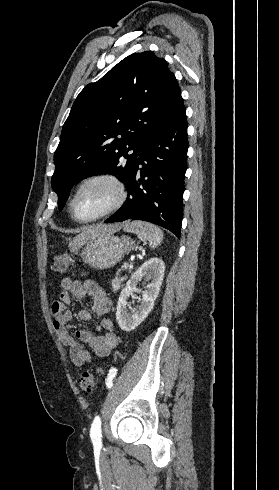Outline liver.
Listing matches in <instances>:
<instances>
[{"mask_svg":"<svg viewBox=\"0 0 279 490\" xmlns=\"http://www.w3.org/2000/svg\"><path fill=\"white\" fill-rule=\"evenodd\" d=\"M123 224H112V226H91V228H85L82 230V234L74 238V242L80 246V244H86L88 240H95L100 236H106V234H115L118 230H121Z\"/></svg>","mask_w":279,"mask_h":490,"instance_id":"6515ba94","label":"liver"}]
</instances>
